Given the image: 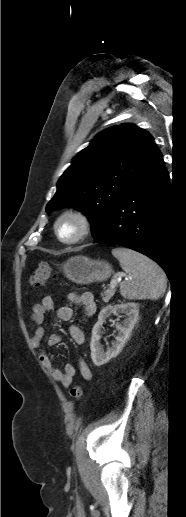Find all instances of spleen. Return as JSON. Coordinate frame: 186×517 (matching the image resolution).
Returning <instances> with one entry per match:
<instances>
[{
	"label": "spleen",
	"mask_w": 186,
	"mask_h": 517,
	"mask_svg": "<svg viewBox=\"0 0 186 517\" xmlns=\"http://www.w3.org/2000/svg\"><path fill=\"white\" fill-rule=\"evenodd\" d=\"M128 278L120 285L121 295L129 300L159 299L166 290L164 271L148 257L127 248L112 250Z\"/></svg>",
	"instance_id": "obj_1"
}]
</instances>
